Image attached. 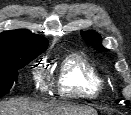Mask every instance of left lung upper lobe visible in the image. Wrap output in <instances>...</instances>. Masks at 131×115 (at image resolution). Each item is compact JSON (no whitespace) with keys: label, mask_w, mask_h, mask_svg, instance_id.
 Segmentation results:
<instances>
[{"label":"left lung upper lobe","mask_w":131,"mask_h":115,"mask_svg":"<svg viewBox=\"0 0 131 115\" xmlns=\"http://www.w3.org/2000/svg\"><path fill=\"white\" fill-rule=\"evenodd\" d=\"M83 39L88 42L89 45H92L96 50L102 51L104 47L101 45L100 35L93 31L81 32Z\"/></svg>","instance_id":"obj_1"}]
</instances>
